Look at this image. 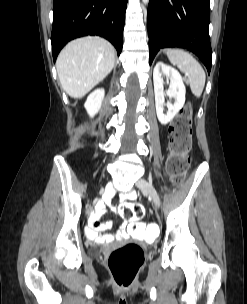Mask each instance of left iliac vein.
Wrapping results in <instances>:
<instances>
[{
    "label": "left iliac vein",
    "mask_w": 247,
    "mask_h": 304,
    "mask_svg": "<svg viewBox=\"0 0 247 304\" xmlns=\"http://www.w3.org/2000/svg\"><path fill=\"white\" fill-rule=\"evenodd\" d=\"M136 185L141 191H143L149 195V197L152 199V201L156 207L160 206L159 195H158L157 191L155 190L154 186L150 182H148L145 179H139L136 182Z\"/></svg>",
    "instance_id": "1"
}]
</instances>
